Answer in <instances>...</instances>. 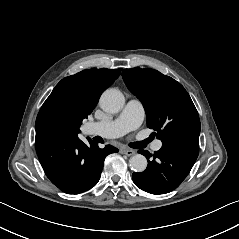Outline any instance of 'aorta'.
<instances>
[{
  "label": "aorta",
  "instance_id": "1",
  "mask_svg": "<svg viewBox=\"0 0 239 239\" xmlns=\"http://www.w3.org/2000/svg\"><path fill=\"white\" fill-rule=\"evenodd\" d=\"M125 103L124 95L117 89H107L100 97L99 104L103 111L114 114L118 113ZM130 168L135 172H143L147 167V159L136 154L129 160Z\"/></svg>",
  "mask_w": 239,
  "mask_h": 239
}]
</instances>
